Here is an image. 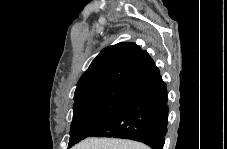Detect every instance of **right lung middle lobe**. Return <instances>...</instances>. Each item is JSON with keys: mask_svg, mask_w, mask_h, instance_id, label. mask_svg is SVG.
Listing matches in <instances>:
<instances>
[{"mask_svg": "<svg viewBox=\"0 0 227 149\" xmlns=\"http://www.w3.org/2000/svg\"><path fill=\"white\" fill-rule=\"evenodd\" d=\"M135 88L120 84L98 88L74 103L69 146L87 138L110 119L129 99Z\"/></svg>", "mask_w": 227, "mask_h": 149, "instance_id": "1", "label": "right lung middle lobe"}]
</instances>
